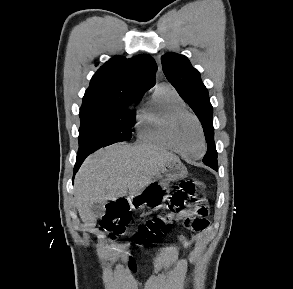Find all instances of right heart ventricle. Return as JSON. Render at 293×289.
<instances>
[{"mask_svg": "<svg viewBox=\"0 0 293 289\" xmlns=\"http://www.w3.org/2000/svg\"><path fill=\"white\" fill-rule=\"evenodd\" d=\"M180 109H186V105L177 91L168 84L158 85L138 110V139L143 143L173 151L167 137V124L170 116Z\"/></svg>", "mask_w": 293, "mask_h": 289, "instance_id": "1", "label": "right heart ventricle"}]
</instances>
